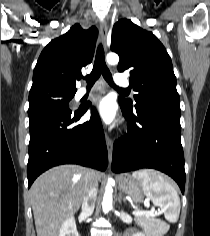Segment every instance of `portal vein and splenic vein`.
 <instances>
[{"instance_id":"obj_1","label":"portal vein and splenic vein","mask_w":210,"mask_h":236,"mask_svg":"<svg viewBox=\"0 0 210 236\" xmlns=\"http://www.w3.org/2000/svg\"><path fill=\"white\" fill-rule=\"evenodd\" d=\"M160 212H163L162 210ZM134 215H146V216H154L157 212L154 210L150 211H133L132 212Z\"/></svg>"}]
</instances>
